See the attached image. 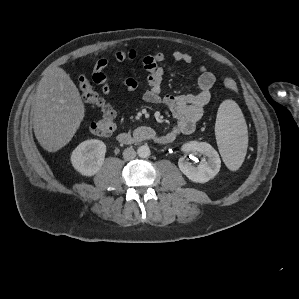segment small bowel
<instances>
[{"instance_id": "obj_1", "label": "small bowel", "mask_w": 299, "mask_h": 299, "mask_svg": "<svg viewBox=\"0 0 299 299\" xmlns=\"http://www.w3.org/2000/svg\"><path fill=\"white\" fill-rule=\"evenodd\" d=\"M139 53L135 49L126 51H118L114 55L115 62H124L126 60H136ZM172 58L176 62L185 64H192L193 56L180 51H175ZM165 60L163 53L148 54L143 57L142 63L147 76V88L142 94L145 102L151 104H163L172 113L176 122L164 135L161 136L163 143H168L176 139L179 135L192 134L198 122L203 118L206 106L210 103L212 98V89L216 82V77L213 73L208 71L205 67L199 68V76L197 87L198 91L192 94L180 95H162V82L164 77V68L162 63ZM109 61L106 58L99 59L94 67L92 79L101 87L103 94L109 95L111 87L108 82L104 70L108 67ZM123 85L128 91H135L138 87V82L133 77H126L123 80Z\"/></svg>"}]
</instances>
